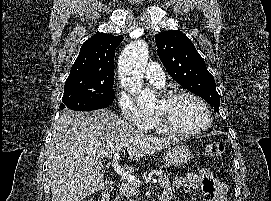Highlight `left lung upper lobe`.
<instances>
[{
  "label": "left lung upper lobe",
  "mask_w": 271,
  "mask_h": 201,
  "mask_svg": "<svg viewBox=\"0 0 271 201\" xmlns=\"http://www.w3.org/2000/svg\"><path fill=\"white\" fill-rule=\"evenodd\" d=\"M155 40L159 58L170 76L181 86L203 98L218 112L220 97L214 78L191 40L176 30L159 33Z\"/></svg>",
  "instance_id": "obj_1"
}]
</instances>
